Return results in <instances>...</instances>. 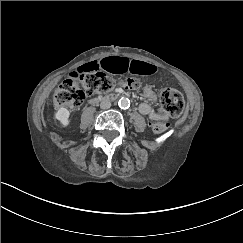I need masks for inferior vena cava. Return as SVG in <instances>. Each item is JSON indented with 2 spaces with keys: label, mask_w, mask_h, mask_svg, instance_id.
Masks as SVG:
<instances>
[{
  "label": "inferior vena cava",
  "mask_w": 243,
  "mask_h": 243,
  "mask_svg": "<svg viewBox=\"0 0 243 243\" xmlns=\"http://www.w3.org/2000/svg\"><path fill=\"white\" fill-rule=\"evenodd\" d=\"M110 107H111V102L110 101H108V100L101 101V103H100V108L101 109H108Z\"/></svg>",
  "instance_id": "1"
}]
</instances>
